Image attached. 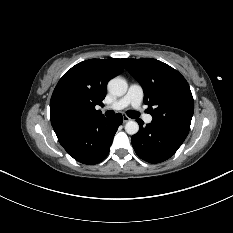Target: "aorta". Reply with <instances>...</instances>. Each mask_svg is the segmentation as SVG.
Here are the masks:
<instances>
[{
    "instance_id": "1",
    "label": "aorta",
    "mask_w": 233,
    "mask_h": 233,
    "mask_svg": "<svg viewBox=\"0 0 233 233\" xmlns=\"http://www.w3.org/2000/svg\"><path fill=\"white\" fill-rule=\"evenodd\" d=\"M108 91L115 96H123L128 89V84L125 79L115 77L108 82ZM125 131L129 135H134L139 131V125L136 121H128L125 125Z\"/></svg>"
}]
</instances>
